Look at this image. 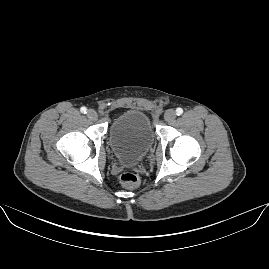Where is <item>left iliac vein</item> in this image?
I'll use <instances>...</instances> for the list:
<instances>
[{
    "instance_id": "4c4485c4",
    "label": "left iliac vein",
    "mask_w": 269,
    "mask_h": 269,
    "mask_svg": "<svg viewBox=\"0 0 269 269\" xmlns=\"http://www.w3.org/2000/svg\"><path fill=\"white\" fill-rule=\"evenodd\" d=\"M175 118H176V112L172 109L167 110L164 114V119L167 122H172L175 120Z\"/></svg>"
}]
</instances>
